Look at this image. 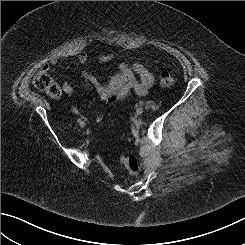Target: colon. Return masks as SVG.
Segmentation results:
<instances>
[{
  "mask_svg": "<svg viewBox=\"0 0 245 245\" xmlns=\"http://www.w3.org/2000/svg\"><path fill=\"white\" fill-rule=\"evenodd\" d=\"M175 83V77L172 73L164 71L159 76V85L163 89L171 88ZM34 86L49 95L50 97H58L60 95V90L57 83L54 81L51 74L43 69L36 73L33 78ZM122 164L131 174H137L140 170V164L136 156L128 155L121 158Z\"/></svg>",
  "mask_w": 245,
  "mask_h": 245,
  "instance_id": "1",
  "label": "colon"
}]
</instances>
